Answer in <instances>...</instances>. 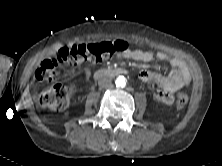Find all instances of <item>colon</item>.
<instances>
[{"instance_id":"obj_1","label":"colon","mask_w":222,"mask_h":166,"mask_svg":"<svg viewBox=\"0 0 222 166\" xmlns=\"http://www.w3.org/2000/svg\"><path fill=\"white\" fill-rule=\"evenodd\" d=\"M127 49V43L120 40L63 47L55 57L41 62L35 72V77L40 81H54L59 76L58 67L61 64L75 65L84 61L101 62L117 56ZM71 93V88L68 86L53 84L39 95L38 103L50 111H60L68 105ZM187 102L188 95L185 92H179L176 97V107L182 109Z\"/></svg>"}]
</instances>
